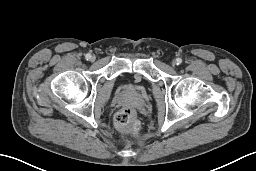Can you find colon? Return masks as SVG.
I'll return each instance as SVG.
<instances>
[{
  "label": "colon",
  "mask_w": 256,
  "mask_h": 171,
  "mask_svg": "<svg viewBox=\"0 0 256 171\" xmlns=\"http://www.w3.org/2000/svg\"><path fill=\"white\" fill-rule=\"evenodd\" d=\"M114 121L119 129L131 132L134 135H140L142 131V125L132 108L126 107L119 110L115 114Z\"/></svg>",
  "instance_id": "obj_1"
}]
</instances>
